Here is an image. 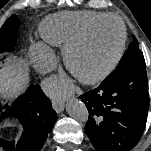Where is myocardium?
Masks as SVG:
<instances>
[{"instance_id":"myocardium-1","label":"myocardium","mask_w":151,"mask_h":151,"mask_svg":"<svg viewBox=\"0 0 151 151\" xmlns=\"http://www.w3.org/2000/svg\"><path fill=\"white\" fill-rule=\"evenodd\" d=\"M113 20L117 22L120 27L121 37L117 52L114 58L110 61V63L105 66L103 69L99 70L98 72L91 74V75H82L80 74L77 69L75 68L73 62V54L76 50H78L89 38L91 33L102 23ZM127 42V28L123 19L116 15V14H107L98 18L97 20L93 21L89 24L75 39L70 41L64 46L63 55L66 67L68 70L82 83L84 84H96L104 79H106L119 65L121 62Z\"/></svg>"}]
</instances>
